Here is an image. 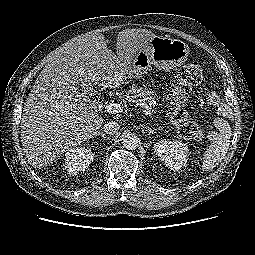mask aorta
I'll list each match as a JSON object with an SVG mask.
<instances>
[{"label": "aorta", "instance_id": "obj_1", "mask_svg": "<svg viewBox=\"0 0 255 255\" xmlns=\"http://www.w3.org/2000/svg\"><path fill=\"white\" fill-rule=\"evenodd\" d=\"M140 144V139L136 134L127 133L123 137V146L128 150L136 149Z\"/></svg>", "mask_w": 255, "mask_h": 255}]
</instances>
